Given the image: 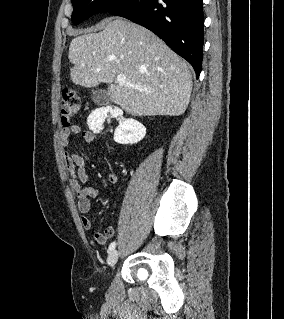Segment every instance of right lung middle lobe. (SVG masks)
Returning a JSON list of instances; mask_svg holds the SVG:
<instances>
[{"label":"right lung middle lobe","instance_id":"obj_1","mask_svg":"<svg viewBox=\"0 0 284 319\" xmlns=\"http://www.w3.org/2000/svg\"><path fill=\"white\" fill-rule=\"evenodd\" d=\"M131 0H72V22L77 25L99 12H108Z\"/></svg>","mask_w":284,"mask_h":319}]
</instances>
